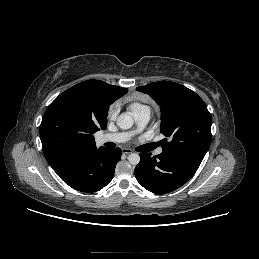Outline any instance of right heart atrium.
Segmentation results:
<instances>
[{
	"mask_svg": "<svg viewBox=\"0 0 259 259\" xmlns=\"http://www.w3.org/2000/svg\"><path fill=\"white\" fill-rule=\"evenodd\" d=\"M116 109H117L116 105H112V106L110 107L109 115H110L111 117H113V116L115 115Z\"/></svg>",
	"mask_w": 259,
	"mask_h": 259,
	"instance_id": "1",
	"label": "right heart atrium"
}]
</instances>
